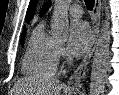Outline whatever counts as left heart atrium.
<instances>
[{
  "label": "left heart atrium",
  "mask_w": 119,
  "mask_h": 95,
  "mask_svg": "<svg viewBox=\"0 0 119 95\" xmlns=\"http://www.w3.org/2000/svg\"><path fill=\"white\" fill-rule=\"evenodd\" d=\"M92 39L88 24L81 20H75L70 26L68 40V53L71 56H80L85 52Z\"/></svg>",
  "instance_id": "left-heart-atrium-1"
}]
</instances>
